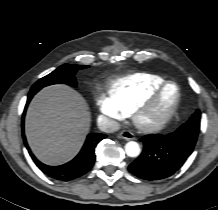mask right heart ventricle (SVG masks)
Listing matches in <instances>:
<instances>
[{"mask_svg":"<svg viewBox=\"0 0 218 210\" xmlns=\"http://www.w3.org/2000/svg\"><path fill=\"white\" fill-rule=\"evenodd\" d=\"M165 79L157 74L136 73L115 81L110 94L124 114H131Z\"/></svg>","mask_w":218,"mask_h":210,"instance_id":"e07e8e85","label":"right heart ventricle"}]
</instances>
